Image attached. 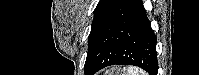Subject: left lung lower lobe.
<instances>
[{"label": "left lung lower lobe", "mask_w": 199, "mask_h": 75, "mask_svg": "<svg viewBox=\"0 0 199 75\" xmlns=\"http://www.w3.org/2000/svg\"><path fill=\"white\" fill-rule=\"evenodd\" d=\"M156 42L142 0H122L84 67L85 75L114 64L135 65L157 75Z\"/></svg>", "instance_id": "obj_1"}]
</instances>
